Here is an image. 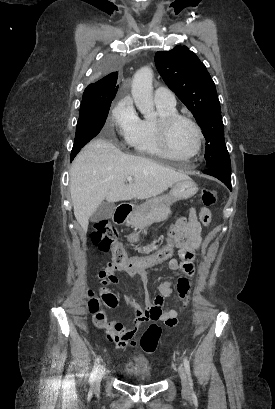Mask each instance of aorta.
Returning a JSON list of instances; mask_svg holds the SVG:
<instances>
[{
    "label": "aorta",
    "mask_w": 275,
    "mask_h": 409,
    "mask_svg": "<svg viewBox=\"0 0 275 409\" xmlns=\"http://www.w3.org/2000/svg\"><path fill=\"white\" fill-rule=\"evenodd\" d=\"M153 70L149 66H142L134 74L131 94L134 102L146 120H154L157 114L152 96Z\"/></svg>",
    "instance_id": "aorta-1"
}]
</instances>
